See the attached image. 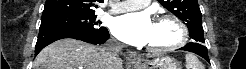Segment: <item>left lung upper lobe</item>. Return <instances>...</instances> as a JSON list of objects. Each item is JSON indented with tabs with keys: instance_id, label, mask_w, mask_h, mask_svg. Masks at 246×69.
Wrapping results in <instances>:
<instances>
[{
	"instance_id": "obj_1",
	"label": "left lung upper lobe",
	"mask_w": 246,
	"mask_h": 69,
	"mask_svg": "<svg viewBox=\"0 0 246 69\" xmlns=\"http://www.w3.org/2000/svg\"><path fill=\"white\" fill-rule=\"evenodd\" d=\"M188 27L193 42L204 44L201 11L197 0H158Z\"/></svg>"
}]
</instances>
